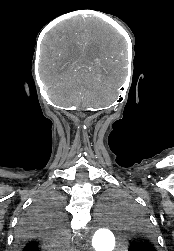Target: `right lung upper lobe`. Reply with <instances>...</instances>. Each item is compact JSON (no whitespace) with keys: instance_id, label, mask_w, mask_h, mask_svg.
<instances>
[{"instance_id":"cb5924a9","label":"right lung upper lobe","mask_w":174,"mask_h":251,"mask_svg":"<svg viewBox=\"0 0 174 251\" xmlns=\"http://www.w3.org/2000/svg\"><path fill=\"white\" fill-rule=\"evenodd\" d=\"M28 222L32 223L36 233L41 234L47 239H50V241L56 240L60 226L57 225L53 218L49 217L45 213H33L29 217ZM49 249H53L51 243L45 248L39 247L36 244L33 247L26 248L25 251H40Z\"/></svg>"}]
</instances>
